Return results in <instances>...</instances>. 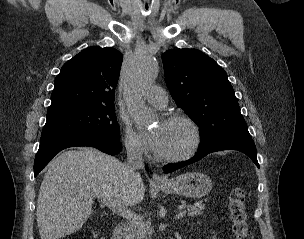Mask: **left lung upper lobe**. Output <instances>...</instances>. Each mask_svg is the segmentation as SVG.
Here are the masks:
<instances>
[{
  "label": "left lung upper lobe",
  "instance_id": "1",
  "mask_svg": "<svg viewBox=\"0 0 304 239\" xmlns=\"http://www.w3.org/2000/svg\"><path fill=\"white\" fill-rule=\"evenodd\" d=\"M165 81L175 102L201 128L202 147L252 139L226 72L197 49L162 54Z\"/></svg>",
  "mask_w": 304,
  "mask_h": 239
}]
</instances>
